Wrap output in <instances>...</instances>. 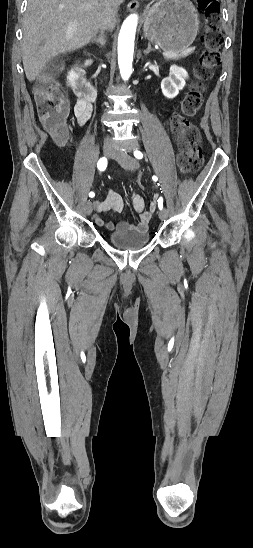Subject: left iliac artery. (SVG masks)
Here are the masks:
<instances>
[{
  "mask_svg": "<svg viewBox=\"0 0 253 548\" xmlns=\"http://www.w3.org/2000/svg\"><path fill=\"white\" fill-rule=\"evenodd\" d=\"M134 156H135L137 159H142L143 154H142L140 151L136 150V151L134 152ZM152 179H153L154 181H157V180H158V177L154 175V176L152 177ZM158 207H159L160 210H162V208H163V199H162V198H159V200H158Z\"/></svg>",
  "mask_w": 253,
  "mask_h": 548,
  "instance_id": "44dca946",
  "label": "left iliac artery"
}]
</instances>
